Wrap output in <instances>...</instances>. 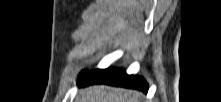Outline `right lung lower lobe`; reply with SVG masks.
<instances>
[{
    "mask_svg": "<svg viewBox=\"0 0 221 102\" xmlns=\"http://www.w3.org/2000/svg\"><path fill=\"white\" fill-rule=\"evenodd\" d=\"M81 80L79 86H88L91 84H109L115 86H122L127 88H134L147 93L148 84L140 76L127 75L122 69H96L90 73L80 74Z\"/></svg>",
    "mask_w": 221,
    "mask_h": 102,
    "instance_id": "1",
    "label": "right lung lower lobe"
}]
</instances>
